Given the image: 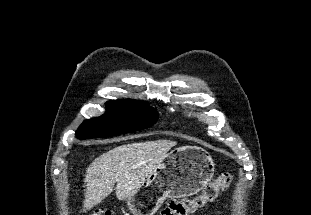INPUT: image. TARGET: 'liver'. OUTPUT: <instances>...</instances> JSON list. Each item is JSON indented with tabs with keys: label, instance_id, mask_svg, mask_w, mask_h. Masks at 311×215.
Wrapping results in <instances>:
<instances>
[{
	"label": "liver",
	"instance_id": "6515ba94",
	"mask_svg": "<svg viewBox=\"0 0 311 215\" xmlns=\"http://www.w3.org/2000/svg\"><path fill=\"white\" fill-rule=\"evenodd\" d=\"M176 144L170 140L129 143L97 157L86 170L83 212L100 204L113 191L115 183L119 200L134 196Z\"/></svg>",
	"mask_w": 311,
	"mask_h": 215
}]
</instances>
